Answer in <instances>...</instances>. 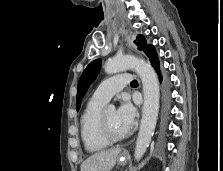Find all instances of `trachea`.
<instances>
[{
  "label": "trachea",
  "instance_id": "obj_1",
  "mask_svg": "<svg viewBox=\"0 0 223 171\" xmlns=\"http://www.w3.org/2000/svg\"><path fill=\"white\" fill-rule=\"evenodd\" d=\"M133 84H138L137 80H133V81L131 82V85H133Z\"/></svg>",
  "mask_w": 223,
  "mask_h": 171
}]
</instances>
